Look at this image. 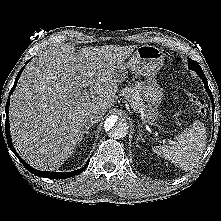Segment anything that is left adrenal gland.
Instances as JSON below:
<instances>
[{
  "label": "left adrenal gland",
  "mask_w": 221,
  "mask_h": 221,
  "mask_svg": "<svg viewBox=\"0 0 221 221\" xmlns=\"http://www.w3.org/2000/svg\"><path fill=\"white\" fill-rule=\"evenodd\" d=\"M137 140H141L142 142H144V139L142 138V134L140 132H139Z\"/></svg>",
  "instance_id": "obj_1"
}]
</instances>
